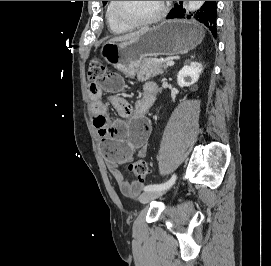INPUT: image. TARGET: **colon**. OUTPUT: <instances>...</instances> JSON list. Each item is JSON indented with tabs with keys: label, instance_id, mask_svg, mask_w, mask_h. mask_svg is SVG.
Masks as SVG:
<instances>
[{
	"label": "colon",
	"instance_id": "colon-1",
	"mask_svg": "<svg viewBox=\"0 0 271 266\" xmlns=\"http://www.w3.org/2000/svg\"><path fill=\"white\" fill-rule=\"evenodd\" d=\"M105 73V66L98 58L90 61L87 77L90 81L100 79ZM128 169L137 178L138 181H144L147 177L149 170L146 162L143 160L133 161L129 164Z\"/></svg>",
	"mask_w": 271,
	"mask_h": 266
}]
</instances>
